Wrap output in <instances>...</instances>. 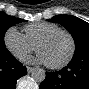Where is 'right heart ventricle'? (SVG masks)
Wrapping results in <instances>:
<instances>
[{"instance_id":"obj_1","label":"right heart ventricle","mask_w":89,"mask_h":89,"mask_svg":"<svg viewBox=\"0 0 89 89\" xmlns=\"http://www.w3.org/2000/svg\"><path fill=\"white\" fill-rule=\"evenodd\" d=\"M57 29H60V27L54 23H32L24 27V35L34 46H36L40 38H42L45 34Z\"/></svg>"}]
</instances>
